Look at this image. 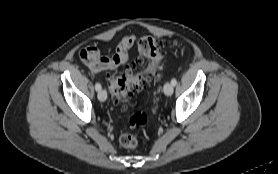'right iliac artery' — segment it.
<instances>
[{"label": "right iliac artery", "instance_id": "obj_1", "mask_svg": "<svg viewBox=\"0 0 278 174\" xmlns=\"http://www.w3.org/2000/svg\"><path fill=\"white\" fill-rule=\"evenodd\" d=\"M95 89H96V91H100V90H101V85H100V83H96V84H95Z\"/></svg>", "mask_w": 278, "mask_h": 174}]
</instances>
